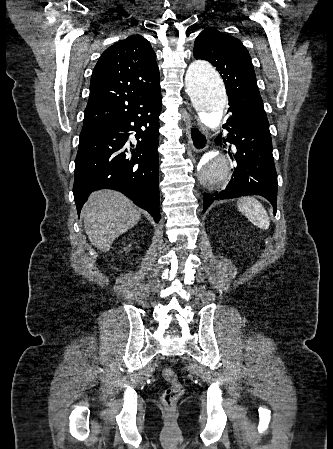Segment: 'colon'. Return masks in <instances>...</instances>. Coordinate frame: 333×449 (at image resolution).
<instances>
[{
    "label": "colon",
    "instance_id": "obj_1",
    "mask_svg": "<svg viewBox=\"0 0 333 449\" xmlns=\"http://www.w3.org/2000/svg\"><path fill=\"white\" fill-rule=\"evenodd\" d=\"M162 376L169 383V387L162 395V403L167 408H173L183 393V386L176 372L170 367H165L162 370Z\"/></svg>",
    "mask_w": 333,
    "mask_h": 449
}]
</instances>
